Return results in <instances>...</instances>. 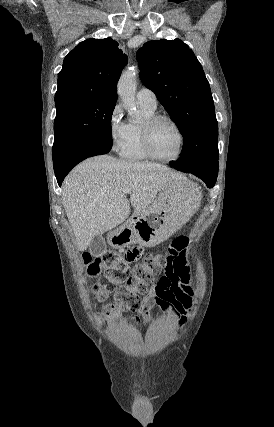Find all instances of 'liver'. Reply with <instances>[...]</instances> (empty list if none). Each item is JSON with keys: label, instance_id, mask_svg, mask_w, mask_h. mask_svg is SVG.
Segmentation results:
<instances>
[{"label": "liver", "instance_id": "1", "mask_svg": "<svg viewBox=\"0 0 274 427\" xmlns=\"http://www.w3.org/2000/svg\"><path fill=\"white\" fill-rule=\"evenodd\" d=\"M179 180L186 186L185 176L166 166L117 160L113 156H95L78 164L62 184V202L78 249L84 251L95 235L125 221L130 204L123 190H130L134 214H142L153 206L154 200L169 198L171 184L178 190Z\"/></svg>", "mask_w": 274, "mask_h": 427}]
</instances>
